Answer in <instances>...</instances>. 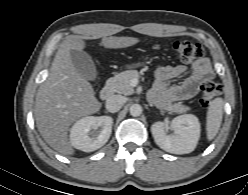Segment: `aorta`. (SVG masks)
Returning a JSON list of instances; mask_svg holds the SVG:
<instances>
[{"instance_id":"obj_1","label":"aorta","mask_w":248,"mask_h":195,"mask_svg":"<svg viewBox=\"0 0 248 195\" xmlns=\"http://www.w3.org/2000/svg\"><path fill=\"white\" fill-rule=\"evenodd\" d=\"M130 114L134 117L140 116L142 113V107L140 104H133L130 106Z\"/></svg>"}]
</instances>
